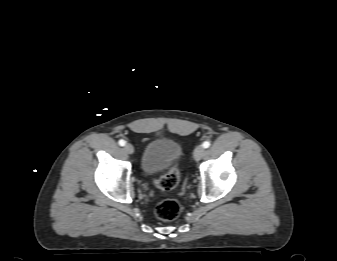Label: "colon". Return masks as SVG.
<instances>
[{
  "label": "colon",
  "instance_id": "colon-1",
  "mask_svg": "<svg viewBox=\"0 0 337 261\" xmlns=\"http://www.w3.org/2000/svg\"><path fill=\"white\" fill-rule=\"evenodd\" d=\"M180 180V170L177 164H174L168 172L155 181L156 187L169 191L177 187ZM180 204L173 199H167L160 202L156 207V216L164 221H172L180 214Z\"/></svg>",
  "mask_w": 337,
  "mask_h": 261
}]
</instances>
